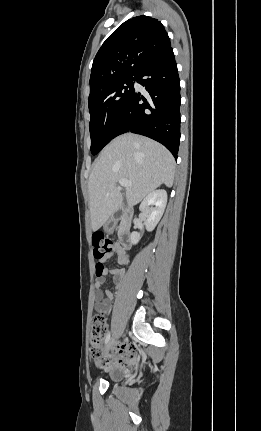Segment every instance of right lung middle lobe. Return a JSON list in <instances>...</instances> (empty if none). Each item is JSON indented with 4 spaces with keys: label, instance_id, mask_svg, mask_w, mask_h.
Returning a JSON list of instances; mask_svg holds the SVG:
<instances>
[{
    "label": "right lung middle lobe",
    "instance_id": "1",
    "mask_svg": "<svg viewBox=\"0 0 261 431\" xmlns=\"http://www.w3.org/2000/svg\"><path fill=\"white\" fill-rule=\"evenodd\" d=\"M128 77L89 95L91 152L97 154L113 138L115 126L134 93L133 81Z\"/></svg>",
    "mask_w": 261,
    "mask_h": 431
}]
</instances>
